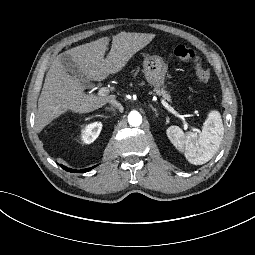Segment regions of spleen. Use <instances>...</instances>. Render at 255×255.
<instances>
[{"mask_svg":"<svg viewBox=\"0 0 255 255\" xmlns=\"http://www.w3.org/2000/svg\"><path fill=\"white\" fill-rule=\"evenodd\" d=\"M209 124L200 136L188 133L185 146V135L181 128L172 125L166 133L172 145L183 152L186 160L193 165H201L209 161L216 154L223 138L224 128L221 114L211 109L207 113Z\"/></svg>","mask_w":255,"mask_h":255,"instance_id":"3e777b00","label":"spleen"}]
</instances>
